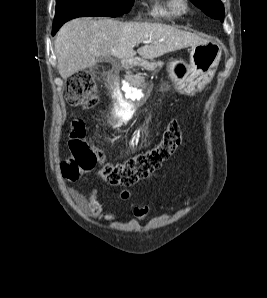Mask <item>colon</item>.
<instances>
[{"mask_svg":"<svg viewBox=\"0 0 267 298\" xmlns=\"http://www.w3.org/2000/svg\"><path fill=\"white\" fill-rule=\"evenodd\" d=\"M65 99L73 106L93 107L97 103V97L92 74L88 71L73 74L67 81ZM182 142V126L179 121L173 120L163 131L159 142L151 149L121 163H105L100 166L97 174L110 185H134L158 170ZM68 147L70 156L60 163L65 178L76 180L96 167L98 156L85 139L84 124L81 120L71 123Z\"/></svg>","mask_w":267,"mask_h":298,"instance_id":"5ec220e1","label":"colon"}]
</instances>
